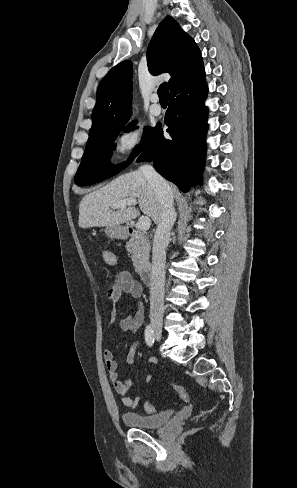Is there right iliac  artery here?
I'll use <instances>...</instances> for the list:
<instances>
[{"instance_id":"right-iliac-artery-1","label":"right iliac artery","mask_w":297,"mask_h":488,"mask_svg":"<svg viewBox=\"0 0 297 488\" xmlns=\"http://www.w3.org/2000/svg\"><path fill=\"white\" fill-rule=\"evenodd\" d=\"M155 340V335L152 327L147 325L145 328V341L148 346H152Z\"/></svg>"}]
</instances>
